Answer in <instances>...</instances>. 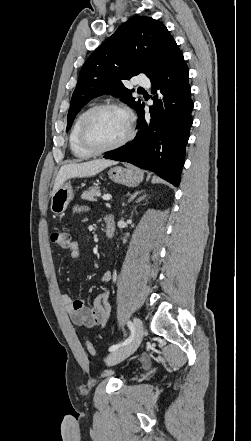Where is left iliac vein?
<instances>
[{
  "mask_svg": "<svg viewBox=\"0 0 251 441\" xmlns=\"http://www.w3.org/2000/svg\"><path fill=\"white\" fill-rule=\"evenodd\" d=\"M133 323L135 332L132 341L122 348L111 352L105 359L107 365L113 366L122 362L132 355L141 344L144 335L143 324L138 317H134Z\"/></svg>",
  "mask_w": 251,
  "mask_h": 441,
  "instance_id": "4c4485c4",
  "label": "left iliac vein"
}]
</instances>
